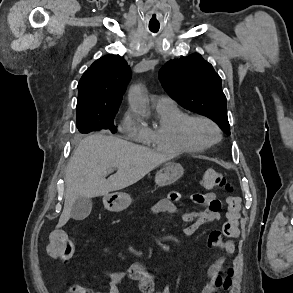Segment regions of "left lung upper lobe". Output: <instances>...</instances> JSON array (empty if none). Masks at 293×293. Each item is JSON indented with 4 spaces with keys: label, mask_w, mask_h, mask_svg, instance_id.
<instances>
[{
    "label": "left lung upper lobe",
    "mask_w": 293,
    "mask_h": 293,
    "mask_svg": "<svg viewBox=\"0 0 293 293\" xmlns=\"http://www.w3.org/2000/svg\"><path fill=\"white\" fill-rule=\"evenodd\" d=\"M163 88L184 108L207 116L227 134V100L221 78L201 55L168 61L159 71Z\"/></svg>",
    "instance_id": "5c2ea615"
}]
</instances>
